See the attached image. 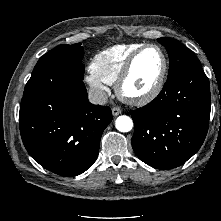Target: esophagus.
Instances as JSON below:
<instances>
[{
	"mask_svg": "<svg viewBox=\"0 0 221 221\" xmlns=\"http://www.w3.org/2000/svg\"><path fill=\"white\" fill-rule=\"evenodd\" d=\"M122 113V110L119 108V107H113L112 108V114H113V116H118L119 114H121Z\"/></svg>",
	"mask_w": 221,
	"mask_h": 221,
	"instance_id": "1",
	"label": "esophagus"
}]
</instances>
